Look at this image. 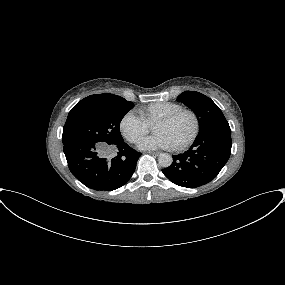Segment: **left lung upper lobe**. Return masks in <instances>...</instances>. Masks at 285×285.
Returning <instances> with one entry per match:
<instances>
[{"mask_svg": "<svg viewBox=\"0 0 285 285\" xmlns=\"http://www.w3.org/2000/svg\"><path fill=\"white\" fill-rule=\"evenodd\" d=\"M177 100L183 102L197 115L200 131L213 127H229L222 111L209 97L199 92L185 91Z\"/></svg>", "mask_w": 285, "mask_h": 285, "instance_id": "5c2ea615", "label": "left lung upper lobe"}]
</instances>
